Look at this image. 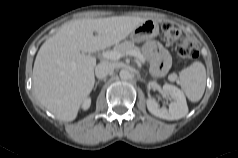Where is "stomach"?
Wrapping results in <instances>:
<instances>
[{"mask_svg": "<svg viewBox=\"0 0 238 158\" xmlns=\"http://www.w3.org/2000/svg\"><path fill=\"white\" fill-rule=\"evenodd\" d=\"M159 34V25L153 19H146L138 25L131 33L130 40L138 43L144 40L152 39Z\"/></svg>", "mask_w": 238, "mask_h": 158, "instance_id": "1", "label": "stomach"}]
</instances>
